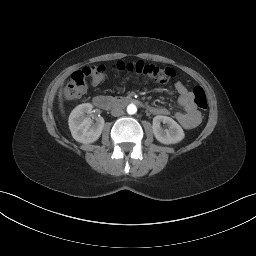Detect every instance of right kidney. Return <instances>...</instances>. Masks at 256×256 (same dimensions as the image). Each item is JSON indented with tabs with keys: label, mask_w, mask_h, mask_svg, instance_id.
Here are the masks:
<instances>
[{
	"label": "right kidney",
	"mask_w": 256,
	"mask_h": 256,
	"mask_svg": "<svg viewBox=\"0 0 256 256\" xmlns=\"http://www.w3.org/2000/svg\"><path fill=\"white\" fill-rule=\"evenodd\" d=\"M92 104L84 103L75 107L68 120L72 137L80 143L89 144L95 142L101 135L104 127V119L99 117L96 122L87 118L86 114L92 113Z\"/></svg>",
	"instance_id": "1"
}]
</instances>
